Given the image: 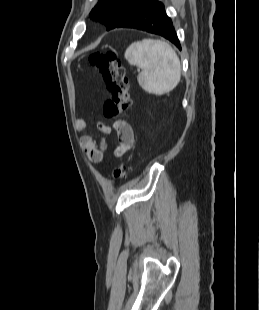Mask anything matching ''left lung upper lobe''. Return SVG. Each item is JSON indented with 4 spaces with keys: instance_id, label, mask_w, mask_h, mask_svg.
I'll return each mask as SVG.
<instances>
[{
    "instance_id": "left-lung-upper-lobe-1",
    "label": "left lung upper lobe",
    "mask_w": 259,
    "mask_h": 310,
    "mask_svg": "<svg viewBox=\"0 0 259 310\" xmlns=\"http://www.w3.org/2000/svg\"><path fill=\"white\" fill-rule=\"evenodd\" d=\"M148 1L150 0H99L92 9L90 18L100 21L107 27V30H110L115 28L129 11Z\"/></svg>"
}]
</instances>
